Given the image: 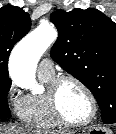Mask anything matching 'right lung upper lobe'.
Segmentation results:
<instances>
[{"instance_id": "1", "label": "right lung upper lobe", "mask_w": 116, "mask_h": 134, "mask_svg": "<svg viewBox=\"0 0 116 134\" xmlns=\"http://www.w3.org/2000/svg\"><path fill=\"white\" fill-rule=\"evenodd\" d=\"M31 28L28 13L19 7L0 8V78H8V58L13 46L23 38Z\"/></svg>"}]
</instances>
